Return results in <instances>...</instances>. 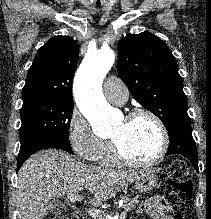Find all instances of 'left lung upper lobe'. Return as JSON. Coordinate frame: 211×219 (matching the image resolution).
Wrapping results in <instances>:
<instances>
[{
	"instance_id": "5c2ea615",
	"label": "left lung upper lobe",
	"mask_w": 211,
	"mask_h": 219,
	"mask_svg": "<svg viewBox=\"0 0 211 219\" xmlns=\"http://www.w3.org/2000/svg\"><path fill=\"white\" fill-rule=\"evenodd\" d=\"M117 70L132 96L154 113L168 133L191 125L178 66L167 45L150 33L128 35L118 44Z\"/></svg>"
}]
</instances>
